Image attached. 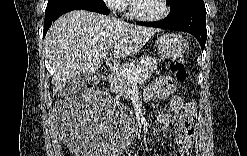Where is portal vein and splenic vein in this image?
Returning <instances> with one entry per match:
<instances>
[{"label": "portal vein and splenic vein", "mask_w": 247, "mask_h": 156, "mask_svg": "<svg viewBox=\"0 0 247 156\" xmlns=\"http://www.w3.org/2000/svg\"><path fill=\"white\" fill-rule=\"evenodd\" d=\"M109 67L113 72L126 75L132 81H136L138 79V77H139V74H138L137 71L133 72L131 69H129V68L125 67V66H119V65H115V64H110Z\"/></svg>", "instance_id": "obj_1"}]
</instances>
